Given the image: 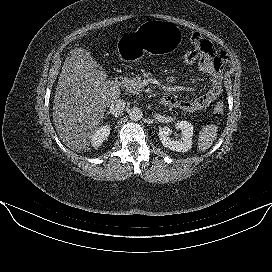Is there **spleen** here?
I'll return each mask as SVG.
<instances>
[{
    "label": "spleen",
    "mask_w": 272,
    "mask_h": 272,
    "mask_svg": "<svg viewBox=\"0 0 272 272\" xmlns=\"http://www.w3.org/2000/svg\"><path fill=\"white\" fill-rule=\"evenodd\" d=\"M217 139V126L207 125L202 128L198 136V151L205 152Z\"/></svg>",
    "instance_id": "obj_1"
}]
</instances>
